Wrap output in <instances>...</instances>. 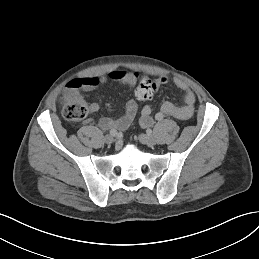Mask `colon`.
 Masks as SVG:
<instances>
[{
    "label": "colon",
    "mask_w": 259,
    "mask_h": 259,
    "mask_svg": "<svg viewBox=\"0 0 259 259\" xmlns=\"http://www.w3.org/2000/svg\"><path fill=\"white\" fill-rule=\"evenodd\" d=\"M83 80L73 79L67 86L63 96L64 116L74 122L82 121L89 113V107L79 93ZM158 88L150 81L143 80L135 90V96L139 100H148L154 96Z\"/></svg>",
    "instance_id": "5ec220e1"
}]
</instances>
